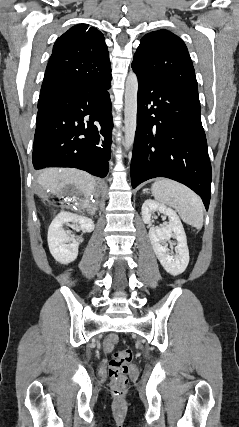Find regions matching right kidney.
Wrapping results in <instances>:
<instances>
[{
    "instance_id": "obj_1",
    "label": "right kidney",
    "mask_w": 239,
    "mask_h": 427,
    "mask_svg": "<svg viewBox=\"0 0 239 427\" xmlns=\"http://www.w3.org/2000/svg\"><path fill=\"white\" fill-rule=\"evenodd\" d=\"M67 223L79 225L83 232H92L95 227L90 218L66 211L54 218L48 229V246L54 259L61 264H68L77 258L79 244L83 241L75 240L64 231L63 225Z\"/></svg>"
}]
</instances>
